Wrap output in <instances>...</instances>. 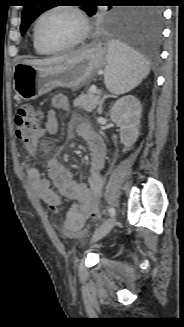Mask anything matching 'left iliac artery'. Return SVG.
<instances>
[{
  "label": "left iliac artery",
  "instance_id": "left-iliac-artery-1",
  "mask_svg": "<svg viewBox=\"0 0 184 327\" xmlns=\"http://www.w3.org/2000/svg\"><path fill=\"white\" fill-rule=\"evenodd\" d=\"M108 212H109L110 216H114L115 215V209L113 207H109L108 208Z\"/></svg>",
  "mask_w": 184,
  "mask_h": 327
}]
</instances>
